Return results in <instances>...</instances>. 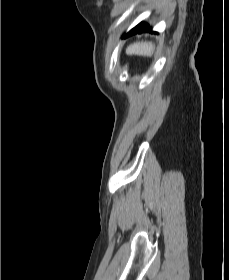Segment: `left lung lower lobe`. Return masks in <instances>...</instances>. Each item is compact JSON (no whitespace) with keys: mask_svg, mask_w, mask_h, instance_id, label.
Segmentation results:
<instances>
[{"mask_svg":"<svg viewBox=\"0 0 229 280\" xmlns=\"http://www.w3.org/2000/svg\"><path fill=\"white\" fill-rule=\"evenodd\" d=\"M143 31H149L151 32V28L148 27L147 24L141 22L140 24H138L136 27H134L132 30H130L127 34L124 35V38L131 36L133 34L136 33H141Z\"/></svg>","mask_w":229,"mask_h":280,"instance_id":"left-lung-lower-lobe-1","label":"left lung lower lobe"}]
</instances>
